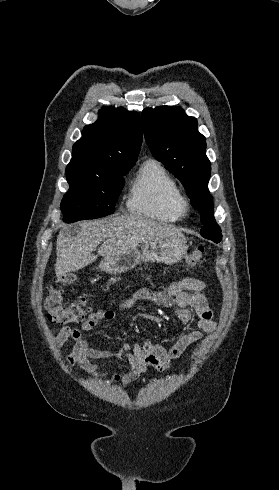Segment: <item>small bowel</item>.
Listing matches in <instances>:
<instances>
[{"mask_svg": "<svg viewBox=\"0 0 279 490\" xmlns=\"http://www.w3.org/2000/svg\"><path fill=\"white\" fill-rule=\"evenodd\" d=\"M204 289L203 281L196 278H184L173 283L164 291L140 289L120 306V311H127L138 302L146 301L173 307L177 317L184 323H188L191 319V313L187 309L188 306H191L198 317V329H189L182 333L169 350L151 340L134 345L125 342L115 349H102L89 345L84 333L92 330L101 321L115 319L117 312L110 309H98L91 312L80 327H62L54 330L53 343L56 347H61L69 339L74 340L72 352L66 358L67 364H78L95 378L105 377L107 373L98 372L92 360L117 361L126 365L129 371L112 375V380L129 384L146 373L150 367L160 371L169 368L173 360L187 354L189 349L197 344L205 334L213 332L216 323L208 300L203 294Z\"/></svg>", "mask_w": 279, "mask_h": 490, "instance_id": "1", "label": "small bowel"}]
</instances>
